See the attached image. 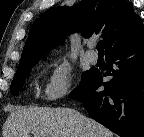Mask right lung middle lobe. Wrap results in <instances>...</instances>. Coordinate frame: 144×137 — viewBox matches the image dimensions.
I'll use <instances>...</instances> for the list:
<instances>
[{
	"label": "right lung middle lobe",
	"mask_w": 144,
	"mask_h": 137,
	"mask_svg": "<svg viewBox=\"0 0 144 137\" xmlns=\"http://www.w3.org/2000/svg\"><path fill=\"white\" fill-rule=\"evenodd\" d=\"M38 60L39 59H35V60L29 61L21 66H18L17 72L14 76V79H13L11 87H10V92L13 95H17L19 93V91L21 90V88L24 84L25 78L28 76L31 68L38 62ZM92 74H93L92 69L89 71L83 72L81 83L70 94V97L72 99H76L81 94L83 87L90 80Z\"/></svg>",
	"instance_id": "right-lung-middle-lobe-1"
}]
</instances>
